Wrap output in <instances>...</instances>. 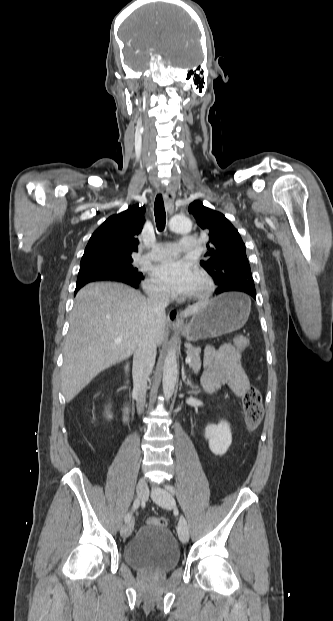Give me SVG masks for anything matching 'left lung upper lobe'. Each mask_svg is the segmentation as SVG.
Returning <instances> with one entry per match:
<instances>
[{
  "label": "left lung upper lobe",
  "instance_id": "1",
  "mask_svg": "<svg viewBox=\"0 0 333 621\" xmlns=\"http://www.w3.org/2000/svg\"><path fill=\"white\" fill-rule=\"evenodd\" d=\"M189 212L209 236L206 259L200 264L212 276L218 288L232 282L254 284L245 244L231 222L222 213L205 207L200 201L192 202Z\"/></svg>",
  "mask_w": 333,
  "mask_h": 621
}]
</instances>
